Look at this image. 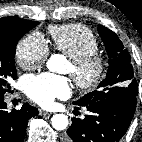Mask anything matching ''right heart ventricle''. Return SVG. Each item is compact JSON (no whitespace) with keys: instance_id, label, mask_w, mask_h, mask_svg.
<instances>
[{"instance_id":"e07e8e85","label":"right heart ventricle","mask_w":142,"mask_h":142,"mask_svg":"<svg viewBox=\"0 0 142 142\" xmlns=\"http://www.w3.org/2000/svg\"><path fill=\"white\" fill-rule=\"evenodd\" d=\"M49 34L53 48L70 59L95 53L99 49V42L93 32L82 24L51 26Z\"/></svg>"}]
</instances>
